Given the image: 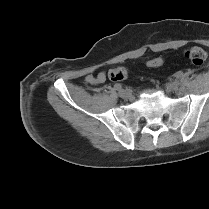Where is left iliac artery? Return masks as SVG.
<instances>
[{"label": "left iliac artery", "instance_id": "left-iliac-artery-1", "mask_svg": "<svg viewBox=\"0 0 209 209\" xmlns=\"http://www.w3.org/2000/svg\"><path fill=\"white\" fill-rule=\"evenodd\" d=\"M183 78V74L181 72H178L175 75V81H180Z\"/></svg>", "mask_w": 209, "mask_h": 209}]
</instances>
